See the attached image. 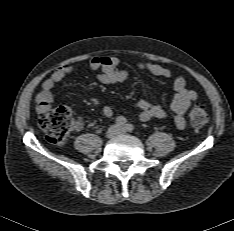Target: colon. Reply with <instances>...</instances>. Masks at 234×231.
Instances as JSON below:
<instances>
[{
	"mask_svg": "<svg viewBox=\"0 0 234 231\" xmlns=\"http://www.w3.org/2000/svg\"><path fill=\"white\" fill-rule=\"evenodd\" d=\"M188 116L195 128H202L209 119L206 110L199 104L190 106ZM38 124L46 133L48 141L57 146L65 145L73 127L71 113L65 107L42 111L38 117Z\"/></svg>",
	"mask_w": 234,
	"mask_h": 231,
	"instance_id": "5ec220e1",
	"label": "colon"
}]
</instances>
